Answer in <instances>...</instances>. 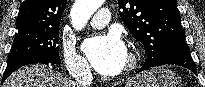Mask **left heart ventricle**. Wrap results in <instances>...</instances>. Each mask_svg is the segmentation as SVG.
I'll return each instance as SVG.
<instances>
[{
    "instance_id": "obj_1",
    "label": "left heart ventricle",
    "mask_w": 205,
    "mask_h": 87,
    "mask_svg": "<svg viewBox=\"0 0 205 87\" xmlns=\"http://www.w3.org/2000/svg\"><path fill=\"white\" fill-rule=\"evenodd\" d=\"M126 62H127V56H126V58H125V61H124V65H123V66H125Z\"/></svg>"
}]
</instances>
